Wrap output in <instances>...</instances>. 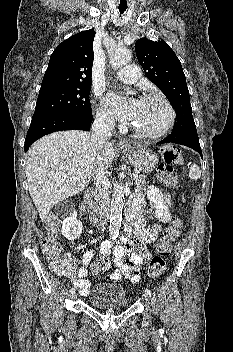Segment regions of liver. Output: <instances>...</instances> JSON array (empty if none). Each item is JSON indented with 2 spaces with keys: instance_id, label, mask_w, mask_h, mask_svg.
Here are the masks:
<instances>
[{
  "instance_id": "1",
  "label": "liver",
  "mask_w": 233,
  "mask_h": 352,
  "mask_svg": "<svg viewBox=\"0 0 233 352\" xmlns=\"http://www.w3.org/2000/svg\"><path fill=\"white\" fill-rule=\"evenodd\" d=\"M114 157V148L107 142L101 151L106 168L112 165ZM96 159L92 135L85 131L55 132L30 147L25 172L30 196L42 221L59 201L85 189Z\"/></svg>"
}]
</instances>
